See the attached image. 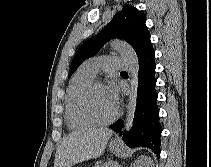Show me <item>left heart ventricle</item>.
<instances>
[{
	"label": "left heart ventricle",
	"instance_id": "left-heart-ventricle-1",
	"mask_svg": "<svg viewBox=\"0 0 211 167\" xmlns=\"http://www.w3.org/2000/svg\"><path fill=\"white\" fill-rule=\"evenodd\" d=\"M89 108L99 119L111 117L116 110L104 86H98L92 91L89 97Z\"/></svg>",
	"mask_w": 211,
	"mask_h": 167
}]
</instances>
